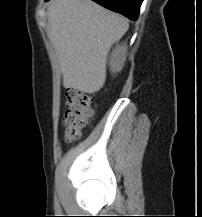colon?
<instances>
[{
    "mask_svg": "<svg viewBox=\"0 0 202 217\" xmlns=\"http://www.w3.org/2000/svg\"><path fill=\"white\" fill-rule=\"evenodd\" d=\"M66 106L64 138L67 142H73L81 137L92 120L93 98L84 92L68 89Z\"/></svg>",
    "mask_w": 202,
    "mask_h": 217,
    "instance_id": "1",
    "label": "colon"
}]
</instances>
